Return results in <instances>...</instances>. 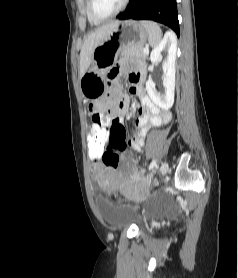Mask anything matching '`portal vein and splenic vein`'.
<instances>
[{
    "mask_svg": "<svg viewBox=\"0 0 238 278\" xmlns=\"http://www.w3.org/2000/svg\"><path fill=\"white\" fill-rule=\"evenodd\" d=\"M143 52H144V54H148L149 53V49L146 47V48H144Z\"/></svg>",
    "mask_w": 238,
    "mask_h": 278,
    "instance_id": "portal-vein-and-splenic-vein-1",
    "label": "portal vein and splenic vein"
}]
</instances>
